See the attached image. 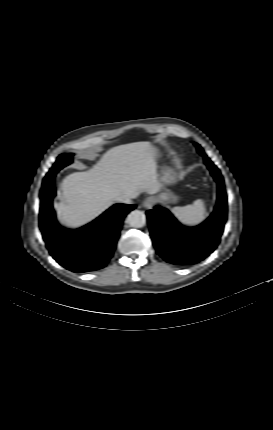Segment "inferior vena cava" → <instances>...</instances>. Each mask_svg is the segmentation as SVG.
<instances>
[{
    "mask_svg": "<svg viewBox=\"0 0 273 430\" xmlns=\"http://www.w3.org/2000/svg\"><path fill=\"white\" fill-rule=\"evenodd\" d=\"M131 198L130 197H128V196H121V197H119L118 198V201L120 202V203H125V204H130L131 203V200H130Z\"/></svg>",
    "mask_w": 273,
    "mask_h": 430,
    "instance_id": "602c4592",
    "label": "inferior vena cava"
}]
</instances>
